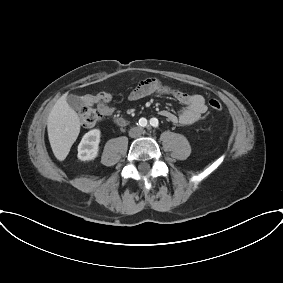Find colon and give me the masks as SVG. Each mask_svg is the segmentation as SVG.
<instances>
[{
    "instance_id": "5ec220e1",
    "label": "colon",
    "mask_w": 283,
    "mask_h": 283,
    "mask_svg": "<svg viewBox=\"0 0 283 283\" xmlns=\"http://www.w3.org/2000/svg\"><path fill=\"white\" fill-rule=\"evenodd\" d=\"M208 105L213 111L222 110V103L216 98L209 99ZM79 116L84 126L91 127L100 120L102 114L99 110L86 105L80 110Z\"/></svg>"
}]
</instances>
